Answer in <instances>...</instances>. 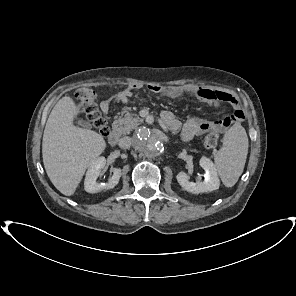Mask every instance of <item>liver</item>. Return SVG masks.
I'll return each mask as SVG.
<instances>
[{
  "instance_id": "1",
  "label": "liver",
  "mask_w": 296,
  "mask_h": 296,
  "mask_svg": "<svg viewBox=\"0 0 296 296\" xmlns=\"http://www.w3.org/2000/svg\"><path fill=\"white\" fill-rule=\"evenodd\" d=\"M79 113L70 96L62 97L52 109L43 134L42 157L46 173L66 196L74 194L87 167L106 148L101 134L73 125Z\"/></svg>"
}]
</instances>
